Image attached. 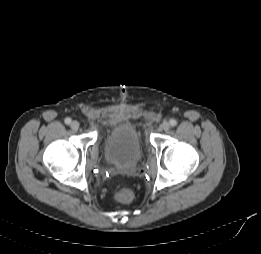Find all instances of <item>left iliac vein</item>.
Wrapping results in <instances>:
<instances>
[{"label":"left iliac vein","instance_id":"1","mask_svg":"<svg viewBox=\"0 0 261 254\" xmlns=\"http://www.w3.org/2000/svg\"><path fill=\"white\" fill-rule=\"evenodd\" d=\"M161 129L164 130V131H167L170 129V123L168 121H164L162 124H161Z\"/></svg>","mask_w":261,"mask_h":254}]
</instances>
